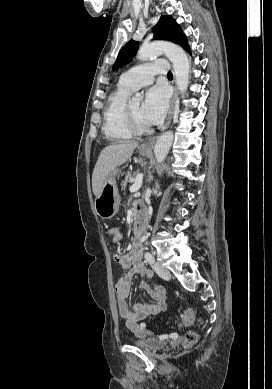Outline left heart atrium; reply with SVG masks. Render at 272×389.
Returning a JSON list of instances; mask_svg holds the SVG:
<instances>
[{
  "label": "left heart atrium",
  "instance_id": "obj_1",
  "mask_svg": "<svg viewBox=\"0 0 272 389\" xmlns=\"http://www.w3.org/2000/svg\"><path fill=\"white\" fill-rule=\"evenodd\" d=\"M169 104L167 90L162 86H154L146 93L142 104V116L148 125L159 123L166 115Z\"/></svg>",
  "mask_w": 272,
  "mask_h": 389
}]
</instances>
